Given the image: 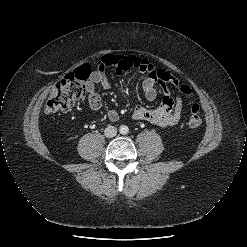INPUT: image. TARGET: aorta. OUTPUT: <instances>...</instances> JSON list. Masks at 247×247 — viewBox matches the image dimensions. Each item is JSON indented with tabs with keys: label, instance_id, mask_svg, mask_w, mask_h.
I'll return each mask as SVG.
<instances>
[{
	"label": "aorta",
	"instance_id": "1",
	"mask_svg": "<svg viewBox=\"0 0 247 247\" xmlns=\"http://www.w3.org/2000/svg\"><path fill=\"white\" fill-rule=\"evenodd\" d=\"M128 131H129V129H128L127 126L122 125V126L120 127V133H121V134H127Z\"/></svg>",
	"mask_w": 247,
	"mask_h": 247
}]
</instances>
